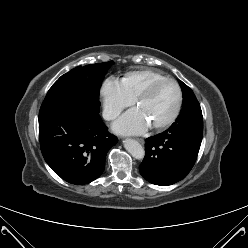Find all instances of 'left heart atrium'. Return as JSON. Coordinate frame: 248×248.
<instances>
[{
  "label": "left heart atrium",
  "mask_w": 248,
  "mask_h": 248,
  "mask_svg": "<svg viewBox=\"0 0 248 248\" xmlns=\"http://www.w3.org/2000/svg\"><path fill=\"white\" fill-rule=\"evenodd\" d=\"M149 121L139 108H133L121 116L112 126L120 134L137 135L144 133Z\"/></svg>",
  "instance_id": "left-heart-atrium-1"
}]
</instances>
